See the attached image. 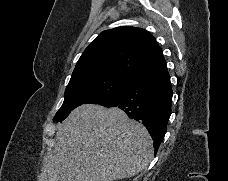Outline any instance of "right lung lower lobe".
<instances>
[{
	"label": "right lung lower lobe",
	"mask_w": 228,
	"mask_h": 181,
	"mask_svg": "<svg viewBox=\"0 0 228 181\" xmlns=\"http://www.w3.org/2000/svg\"><path fill=\"white\" fill-rule=\"evenodd\" d=\"M172 95L164 61L133 77L116 96L100 105L119 107L130 118L142 122L154 140L157 153L171 115Z\"/></svg>",
	"instance_id": "98d812e1"
}]
</instances>
